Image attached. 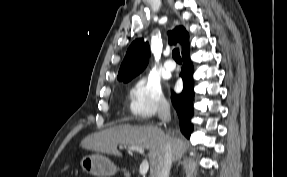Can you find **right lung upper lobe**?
I'll return each mask as SVG.
<instances>
[{
  "label": "right lung upper lobe",
  "instance_id": "1",
  "mask_svg": "<svg viewBox=\"0 0 287 177\" xmlns=\"http://www.w3.org/2000/svg\"><path fill=\"white\" fill-rule=\"evenodd\" d=\"M170 42H179L183 45V50L188 46L189 35L184 27L178 26L173 31L168 32ZM150 55L149 43L142 38L136 39L129 46L126 56L120 66L117 79L120 81L131 80L141 73L147 63Z\"/></svg>",
  "mask_w": 287,
  "mask_h": 177
}]
</instances>
